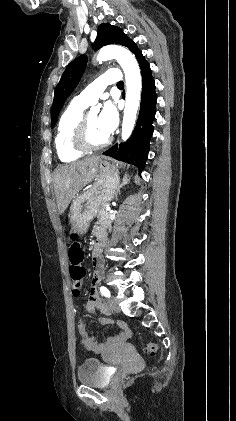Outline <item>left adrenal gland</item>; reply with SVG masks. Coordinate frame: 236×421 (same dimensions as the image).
Returning <instances> with one entry per match:
<instances>
[{"instance_id": "a2214340", "label": "left adrenal gland", "mask_w": 236, "mask_h": 421, "mask_svg": "<svg viewBox=\"0 0 236 421\" xmlns=\"http://www.w3.org/2000/svg\"><path fill=\"white\" fill-rule=\"evenodd\" d=\"M127 182H130V176H129V174H124V176L122 178V182H121V184H119V186L116 190V194H115L116 198H117V192H119L121 186H124V184H127Z\"/></svg>"}]
</instances>
